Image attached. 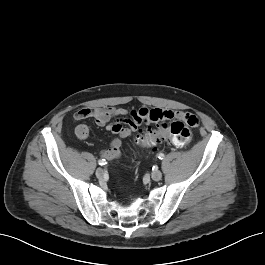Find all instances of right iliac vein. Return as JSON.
I'll return each mask as SVG.
<instances>
[{
    "label": "right iliac vein",
    "instance_id": "obj_1",
    "mask_svg": "<svg viewBox=\"0 0 265 265\" xmlns=\"http://www.w3.org/2000/svg\"><path fill=\"white\" fill-rule=\"evenodd\" d=\"M102 175H103V170H102L101 168H98V169L96 170V176H97L98 178H101Z\"/></svg>",
    "mask_w": 265,
    "mask_h": 265
}]
</instances>
